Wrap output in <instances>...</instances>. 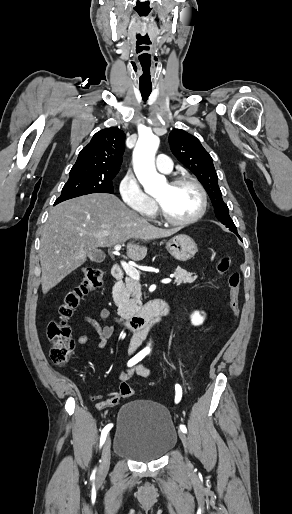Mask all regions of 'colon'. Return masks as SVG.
Returning <instances> with one entry per match:
<instances>
[{
    "label": "colon",
    "mask_w": 292,
    "mask_h": 514,
    "mask_svg": "<svg viewBox=\"0 0 292 514\" xmlns=\"http://www.w3.org/2000/svg\"><path fill=\"white\" fill-rule=\"evenodd\" d=\"M218 271L227 277L229 288V305L232 318L236 319L239 315V292L241 275L231 267V260L228 255L220 256L217 263ZM83 281L68 289L59 305V316L47 325V337L51 344L50 359L55 365L66 363L73 347V338L70 332L68 320L73 315L76 307L81 300L90 292L100 289L104 281V273L88 265L84 270ZM120 393L124 399H129L133 395L131 384H122Z\"/></svg>",
    "instance_id": "colon-1"
}]
</instances>
